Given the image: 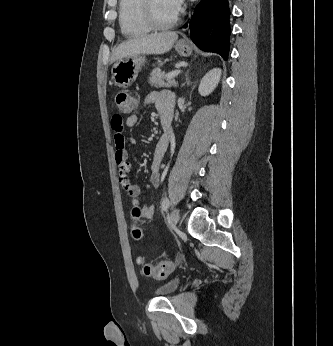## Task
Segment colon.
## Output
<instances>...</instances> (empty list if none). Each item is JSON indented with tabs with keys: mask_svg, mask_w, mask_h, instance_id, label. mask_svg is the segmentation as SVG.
Returning <instances> with one entry per match:
<instances>
[{
	"mask_svg": "<svg viewBox=\"0 0 333 346\" xmlns=\"http://www.w3.org/2000/svg\"><path fill=\"white\" fill-rule=\"evenodd\" d=\"M115 104L117 108V116L122 120L125 116L131 114L135 107V99L132 95L126 92H118L115 95ZM132 216L138 218L140 216V210L134 208L132 210ZM132 236L135 240H139L142 236L141 230L138 227H133ZM142 262V259H139ZM143 273L146 276L153 277L156 279H162L168 276L172 270L173 265L170 261H161L156 264H143Z\"/></svg>",
	"mask_w": 333,
	"mask_h": 346,
	"instance_id": "colon-1",
	"label": "colon"
}]
</instances>
